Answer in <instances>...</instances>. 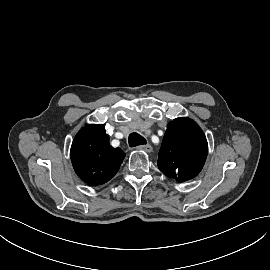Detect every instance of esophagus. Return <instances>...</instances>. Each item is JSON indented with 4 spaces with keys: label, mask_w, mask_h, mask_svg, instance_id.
Instances as JSON below:
<instances>
[{
    "label": "esophagus",
    "mask_w": 270,
    "mask_h": 270,
    "mask_svg": "<svg viewBox=\"0 0 270 270\" xmlns=\"http://www.w3.org/2000/svg\"><path fill=\"white\" fill-rule=\"evenodd\" d=\"M138 150H144L148 153L152 152L153 148L150 144L140 145L137 147Z\"/></svg>",
    "instance_id": "1"
}]
</instances>
